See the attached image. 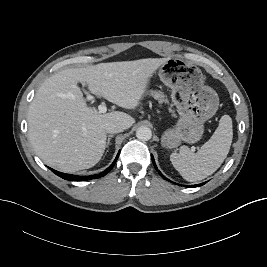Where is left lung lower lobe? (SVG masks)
Segmentation results:
<instances>
[{"instance_id": "1", "label": "left lung lower lobe", "mask_w": 267, "mask_h": 267, "mask_svg": "<svg viewBox=\"0 0 267 267\" xmlns=\"http://www.w3.org/2000/svg\"><path fill=\"white\" fill-rule=\"evenodd\" d=\"M152 162H153V165H154L155 169L158 171L153 156H152ZM158 172H159V174H160V176H161L162 178H164L165 180H168V179H167V178H166L160 171H158ZM168 181H169V180H168ZM203 184H204V183H202V184H197V185H192V186H186V187H199V186H201V185H203Z\"/></svg>"}]
</instances>
